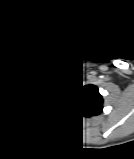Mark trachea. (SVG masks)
I'll list each match as a JSON object with an SVG mask.
<instances>
[{
  "instance_id": "1",
  "label": "trachea",
  "mask_w": 134,
  "mask_h": 159,
  "mask_svg": "<svg viewBox=\"0 0 134 159\" xmlns=\"http://www.w3.org/2000/svg\"><path fill=\"white\" fill-rule=\"evenodd\" d=\"M58 78H59V79L61 78L60 75H58Z\"/></svg>"
}]
</instances>
